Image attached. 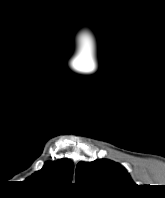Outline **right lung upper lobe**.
Here are the masks:
<instances>
[{
  "mask_svg": "<svg viewBox=\"0 0 165 198\" xmlns=\"http://www.w3.org/2000/svg\"><path fill=\"white\" fill-rule=\"evenodd\" d=\"M73 170L74 164L68 159L46 162L44 167L35 172L27 181H33L46 186L68 184L72 180Z\"/></svg>",
  "mask_w": 165,
  "mask_h": 198,
  "instance_id": "right-lung-upper-lobe-1",
  "label": "right lung upper lobe"
}]
</instances>
